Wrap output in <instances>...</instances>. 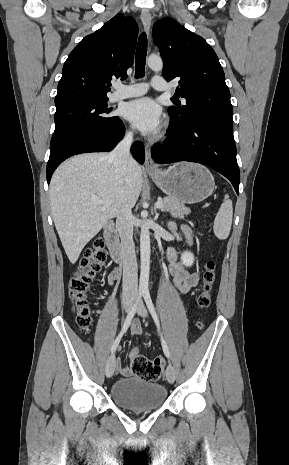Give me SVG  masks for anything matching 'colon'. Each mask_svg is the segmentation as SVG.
Listing matches in <instances>:
<instances>
[{"label": "colon", "mask_w": 289, "mask_h": 465, "mask_svg": "<svg viewBox=\"0 0 289 465\" xmlns=\"http://www.w3.org/2000/svg\"><path fill=\"white\" fill-rule=\"evenodd\" d=\"M105 258L104 241L98 237L85 251L79 266L69 282V296L76 316L78 327L87 331L91 325V308L88 300V292L94 274L99 270L101 262ZM216 278V263L208 260L202 274V287L197 297V306L205 310L211 303V291ZM198 329L203 328V323H197ZM130 367L132 372L142 380L157 381L163 373V360L161 358L150 359L139 353L134 348L130 353Z\"/></svg>", "instance_id": "obj_1"}]
</instances>
